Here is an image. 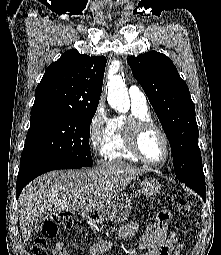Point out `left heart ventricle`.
Listing matches in <instances>:
<instances>
[{
    "instance_id": "left-heart-ventricle-1",
    "label": "left heart ventricle",
    "mask_w": 221,
    "mask_h": 255,
    "mask_svg": "<svg viewBox=\"0 0 221 255\" xmlns=\"http://www.w3.org/2000/svg\"><path fill=\"white\" fill-rule=\"evenodd\" d=\"M141 150L151 161H162L166 155L163 139L155 130L148 131L141 140Z\"/></svg>"
}]
</instances>
